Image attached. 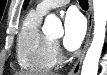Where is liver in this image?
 I'll list each match as a JSON object with an SVG mask.
<instances>
[{"mask_svg": "<svg viewBox=\"0 0 107 75\" xmlns=\"http://www.w3.org/2000/svg\"><path fill=\"white\" fill-rule=\"evenodd\" d=\"M15 75H27V74H25L24 72H18Z\"/></svg>", "mask_w": 107, "mask_h": 75, "instance_id": "1", "label": "liver"}]
</instances>
